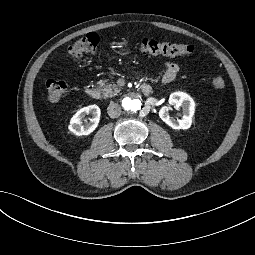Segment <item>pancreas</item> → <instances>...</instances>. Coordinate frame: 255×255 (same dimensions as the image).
Returning a JSON list of instances; mask_svg holds the SVG:
<instances>
[{"label":"pancreas","mask_w":255,"mask_h":255,"mask_svg":"<svg viewBox=\"0 0 255 255\" xmlns=\"http://www.w3.org/2000/svg\"><path fill=\"white\" fill-rule=\"evenodd\" d=\"M98 86L101 88L104 98L114 97L121 91V88L116 84H112L111 82H107L105 80L99 81Z\"/></svg>","instance_id":"cf45deb5"}]
</instances>
